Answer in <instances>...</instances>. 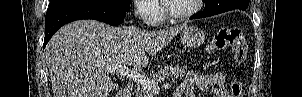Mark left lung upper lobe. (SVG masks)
Listing matches in <instances>:
<instances>
[{"label":"left lung upper lobe","mask_w":302,"mask_h":97,"mask_svg":"<svg viewBox=\"0 0 302 97\" xmlns=\"http://www.w3.org/2000/svg\"><path fill=\"white\" fill-rule=\"evenodd\" d=\"M205 8L216 10L218 12H226L234 9H247L249 0H203ZM204 8V9H205Z\"/></svg>","instance_id":"5c2ea615"}]
</instances>
